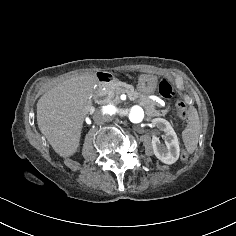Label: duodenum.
Listing matches in <instances>:
<instances>
[{"instance_id":"1","label":"duodenum","mask_w":236,"mask_h":236,"mask_svg":"<svg viewBox=\"0 0 236 236\" xmlns=\"http://www.w3.org/2000/svg\"><path fill=\"white\" fill-rule=\"evenodd\" d=\"M116 80L115 76L111 73H98L97 82L99 84H108Z\"/></svg>"}]
</instances>
